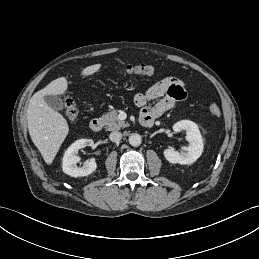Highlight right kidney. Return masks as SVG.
<instances>
[{
  "instance_id": "obj_1",
  "label": "right kidney",
  "mask_w": 259,
  "mask_h": 259,
  "mask_svg": "<svg viewBox=\"0 0 259 259\" xmlns=\"http://www.w3.org/2000/svg\"><path fill=\"white\" fill-rule=\"evenodd\" d=\"M93 144L92 139H79L71 144L63 156V172L71 177H83L93 173L97 168L95 159H90L82 167H77L76 165L80 161V158L77 156L78 151L87 146L91 147Z\"/></svg>"
}]
</instances>
